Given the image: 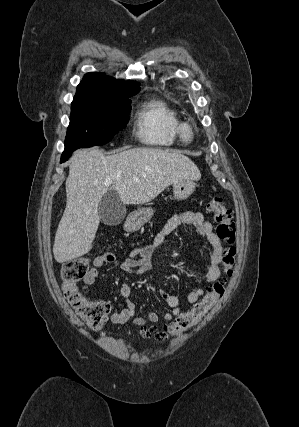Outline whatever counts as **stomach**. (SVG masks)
Returning <instances> with one entry per match:
<instances>
[{
    "label": "stomach",
    "instance_id": "obj_1",
    "mask_svg": "<svg viewBox=\"0 0 299 427\" xmlns=\"http://www.w3.org/2000/svg\"><path fill=\"white\" fill-rule=\"evenodd\" d=\"M196 184L191 179L179 180L173 183V195L177 201L188 199L194 192ZM151 207H142L129 214L126 226L129 230H138L153 216Z\"/></svg>",
    "mask_w": 299,
    "mask_h": 427
}]
</instances>
